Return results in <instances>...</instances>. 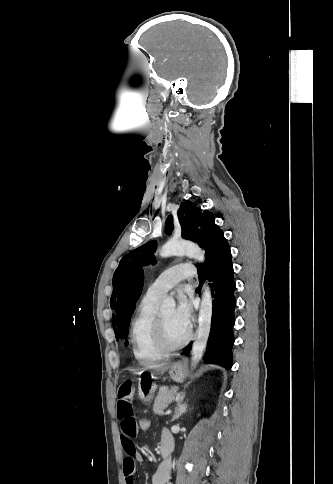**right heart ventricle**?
I'll return each instance as SVG.
<instances>
[{"mask_svg":"<svg viewBox=\"0 0 333 484\" xmlns=\"http://www.w3.org/2000/svg\"><path fill=\"white\" fill-rule=\"evenodd\" d=\"M158 298L145 295L131 322L130 340L135 358L143 365L161 360L164 353L154 339V322Z\"/></svg>","mask_w":333,"mask_h":484,"instance_id":"right-heart-ventricle-1","label":"right heart ventricle"}]
</instances>
